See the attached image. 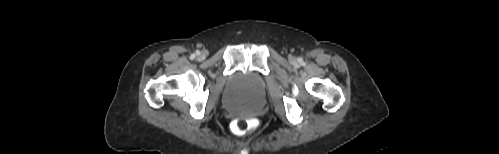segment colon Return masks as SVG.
<instances>
[{
	"label": "colon",
	"mask_w": 499,
	"mask_h": 154,
	"mask_svg": "<svg viewBox=\"0 0 499 154\" xmlns=\"http://www.w3.org/2000/svg\"><path fill=\"white\" fill-rule=\"evenodd\" d=\"M256 126L255 123L245 118H237L232 123V128L236 133H245Z\"/></svg>",
	"instance_id": "1"
}]
</instances>
